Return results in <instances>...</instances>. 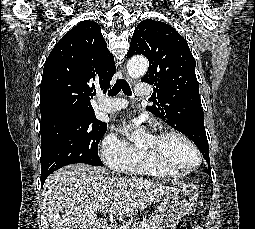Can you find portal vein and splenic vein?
<instances>
[{"instance_id":"1","label":"portal vein and splenic vein","mask_w":255,"mask_h":229,"mask_svg":"<svg viewBox=\"0 0 255 229\" xmlns=\"http://www.w3.org/2000/svg\"><path fill=\"white\" fill-rule=\"evenodd\" d=\"M114 199L118 200L119 199V196H114ZM148 225H144L143 227H141L140 229H148ZM135 229H139L138 227L135 228Z\"/></svg>"}]
</instances>
